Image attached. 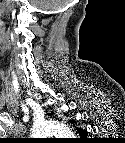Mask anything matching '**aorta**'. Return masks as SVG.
Wrapping results in <instances>:
<instances>
[{
	"instance_id": "1",
	"label": "aorta",
	"mask_w": 125,
	"mask_h": 143,
	"mask_svg": "<svg viewBox=\"0 0 125 143\" xmlns=\"http://www.w3.org/2000/svg\"><path fill=\"white\" fill-rule=\"evenodd\" d=\"M34 136L45 137L50 135H71V131L63 123L56 121H41L32 128Z\"/></svg>"
}]
</instances>
